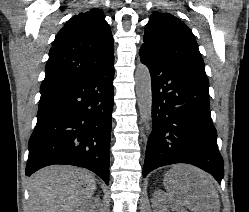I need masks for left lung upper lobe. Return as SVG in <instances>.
Masks as SVG:
<instances>
[{"label": "left lung upper lobe", "instance_id": "left-lung-upper-lobe-1", "mask_svg": "<svg viewBox=\"0 0 249 212\" xmlns=\"http://www.w3.org/2000/svg\"><path fill=\"white\" fill-rule=\"evenodd\" d=\"M143 41L140 55L164 59L206 75L194 35L177 17L155 12L145 26Z\"/></svg>", "mask_w": 249, "mask_h": 212}]
</instances>
